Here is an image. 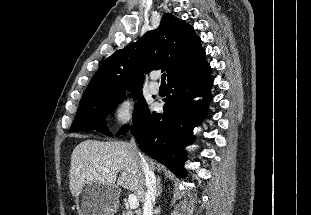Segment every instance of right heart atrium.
Masks as SVG:
<instances>
[{"label":"right heart atrium","instance_id":"right-heart-atrium-1","mask_svg":"<svg viewBox=\"0 0 311 215\" xmlns=\"http://www.w3.org/2000/svg\"><path fill=\"white\" fill-rule=\"evenodd\" d=\"M136 102L130 97H125L120 100L115 106L111 120L117 129H123L130 126L136 115Z\"/></svg>","mask_w":311,"mask_h":215}]
</instances>
